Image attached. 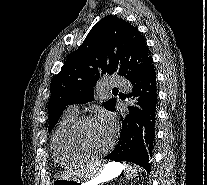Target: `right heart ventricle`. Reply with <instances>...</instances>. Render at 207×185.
Listing matches in <instances>:
<instances>
[{"label": "right heart ventricle", "instance_id": "e07e8e85", "mask_svg": "<svg viewBox=\"0 0 207 185\" xmlns=\"http://www.w3.org/2000/svg\"><path fill=\"white\" fill-rule=\"evenodd\" d=\"M78 119L75 112H69L59 122L52 137L54 158L60 165H76L91 157L75 152L68 142L69 131Z\"/></svg>", "mask_w": 207, "mask_h": 185}]
</instances>
